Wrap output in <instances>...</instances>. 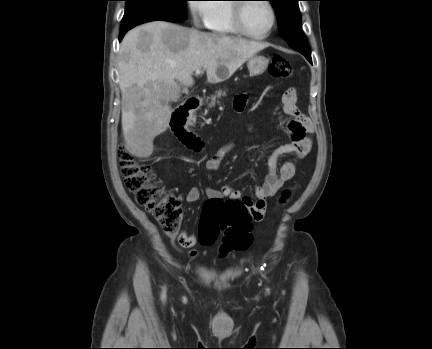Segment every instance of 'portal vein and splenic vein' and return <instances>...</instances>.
<instances>
[{"mask_svg": "<svg viewBox=\"0 0 432 349\" xmlns=\"http://www.w3.org/2000/svg\"><path fill=\"white\" fill-rule=\"evenodd\" d=\"M196 75H200L202 73L201 69L195 71Z\"/></svg>", "mask_w": 432, "mask_h": 349, "instance_id": "1", "label": "portal vein and splenic vein"}]
</instances>
